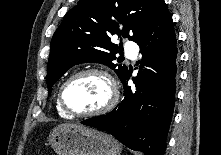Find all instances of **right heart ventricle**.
Segmentation results:
<instances>
[{
  "instance_id": "e07e8e85",
  "label": "right heart ventricle",
  "mask_w": 221,
  "mask_h": 155,
  "mask_svg": "<svg viewBox=\"0 0 221 155\" xmlns=\"http://www.w3.org/2000/svg\"><path fill=\"white\" fill-rule=\"evenodd\" d=\"M56 108H57L58 113H59L61 116L71 117V116H69L65 111H63V109L60 107L59 102H58V99H57V101H56Z\"/></svg>"
}]
</instances>
